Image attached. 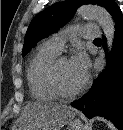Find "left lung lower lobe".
I'll list each match as a JSON object with an SVG mask.
<instances>
[{
    "instance_id": "obj_1",
    "label": "left lung lower lobe",
    "mask_w": 123,
    "mask_h": 130,
    "mask_svg": "<svg viewBox=\"0 0 123 130\" xmlns=\"http://www.w3.org/2000/svg\"><path fill=\"white\" fill-rule=\"evenodd\" d=\"M115 24L114 45L108 54L107 67L94 81L89 92L71 105L86 117L102 116L123 130V15H113ZM103 46L106 39L103 38Z\"/></svg>"
}]
</instances>
